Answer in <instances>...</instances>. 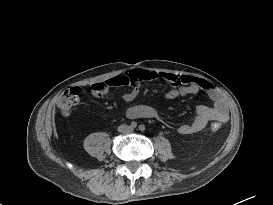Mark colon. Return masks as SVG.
Here are the masks:
<instances>
[{"mask_svg": "<svg viewBox=\"0 0 273 205\" xmlns=\"http://www.w3.org/2000/svg\"><path fill=\"white\" fill-rule=\"evenodd\" d=\"M80 95L79 88H70L64 90L58 97L57 107L59 111L64 114H70L74 108L76 107ZM220 129V125L218 123L211 124L212 131H218Z\"/></svg>", "mask_w": 273, "mask_h": 205, "instance_id": "5ec220e1", "label": "colon"}]
</instances>
